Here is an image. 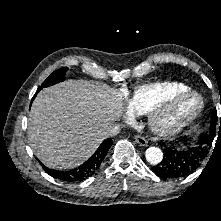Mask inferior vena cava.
Segmentation results:
<instances>
[{
    "instance_id": "obj_1",
    "label": "inferior vena cava",
    "mask_w": 221,
    "mask_h": 221,
    "mask_svg": "<svg viewBox=\"0 0 221 221\" xmlns=\"http://www.w3.org/2000/svg\"><path fill=\"white\" fill-rule=\"evenodd\" d=\"M120 127L118 125H110L109 127H107L103 133H102V136L104 139L106 138H110V137H113V136H116L119 132H120Z\"/></svg>"
}]
</instances>
